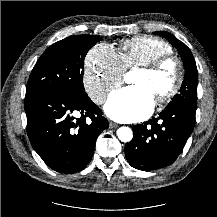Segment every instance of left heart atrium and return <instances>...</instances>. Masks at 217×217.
Masks as SVG:
<instances>
[{
    "instance_id": "39dd6f15",
    "label": "left heart atrium",
    "mask_w": 217,
    "mask_h": 217,
    "mask_svg": "<svg viewBox=\"0 0 217 217\" xmlns=\"http://www.w3.org/2000/svg\"><path fill=\"white\" fill-rule=\"evenodd\" d=\"M154 107V97L144 87L128 86L112 93L105 104L106 114L120 122L146 118Z\"/></svg>"
}]
</instances>
